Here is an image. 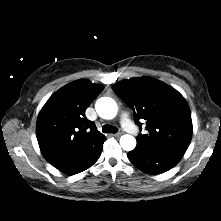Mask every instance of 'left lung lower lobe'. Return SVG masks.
I'll return each instance as SVG.
<instances>
[{
  "instance_id": "obj_1",
  "label": "left lung lower lobe",
  "mask_w": 221,
  "mask_h": 221,
  "mask_svg": "<svg viewBox=\"0 0 221 221\" xmlns=\"http://www.w3.org/2000/svg\"><path fill=\"white\" fill-rule=\"evenodd\" d=\"M183 155V152L177 150L138 145L127 154L135 167L148 174H161L170 170Z\"/></svg>"
}]
</instances>
